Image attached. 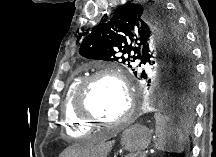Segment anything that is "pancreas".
Segmentation results:
<instances>
[{
	"mask_svg": "<svg viewBox=\"0 0 216 157\" xmlns=\"http://www.w3.org/2000/svg\"><path fill=\"white\" fill-rule=\"evenodd\" d=\"M146 155L141 152L133 153L130 155V157H145Z\"/></svg>",
	"mask_w": 216,
	"mask_h": 157,
	"instance_id": "cf45deb5",
	"label": "pancreas"
}]
</instances>
